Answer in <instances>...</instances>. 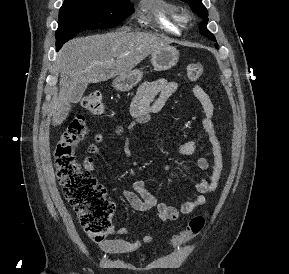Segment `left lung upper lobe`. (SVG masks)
<instances>
[{"label": "left lung upper lobe", "mask_w": 289, "mask_h": 274, "mask_svg": "<svg viewBox=\"0 0 289 274\" xmlns=\"http://www.w3.org/2000/svg\"><path fill=\"white\" fill-rule=\"evenodd\" d=\"M183 2L186 3H190V7L191 9L201 18H203L204 20L201 22L199 29H200V33L206 37H208L209 39H211L212 41L216 42V39L214 37V35L209 32L206 28L207 22H208V18H206L208 16V12L205 8V6L202 4L201 0H182ZM215 47L218 48V44H215Z\"/></svg>", "instance_id": "obj_1"}]
</instances>
